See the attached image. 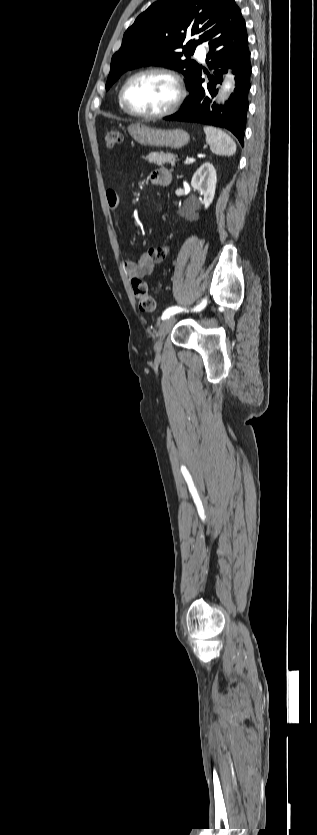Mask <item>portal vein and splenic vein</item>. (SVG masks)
<instances>
[{"label": "portal vein and splenic vein", "mask_w": 317, "mask_h": 835, "mask_svg": "<svg viewBox=\"0 0 317 835\" xmlns=\"http://www.w3.org/2000/svg\"><path fill=\"white\" fill-rule=\"evenodd\" d=\"M193 161H194V159H191V158H187V160H186L187 163L188 162L190 163V162H193Z\"/></svg>", "instance_id": "portal-vein-and-splenic-vein-1"}]
</instances>
